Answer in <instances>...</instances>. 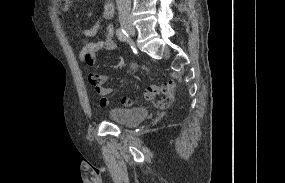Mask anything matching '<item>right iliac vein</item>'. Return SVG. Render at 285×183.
<instances>
[{"mask_svg": "<svg viewBox=\"0 0 285 183\" xmlns=\"http://www.w3.org/2000/svg\"><path fill=\"white\" fill-rule=\"evenodd\" d=\"M121 26L123 29L131 36L135 35V28L133 26L132 20L128 17L120 19Z\"/></svg>", "mask_w": 285, "mask_h": 183, "instance_id": "1", "label": "right iliac vein"}]
</instances>
